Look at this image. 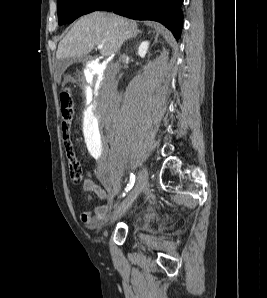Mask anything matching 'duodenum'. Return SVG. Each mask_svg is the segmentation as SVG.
<instances>
[{
	"mask_svg": "<svg viewBox=\"0 0 267 298\" xmlns=\"http://www.w3.org/2000/svg\"><path fill=\"white\" fill-rule=\"evenodd\" d=\"M91 86H92V87H98V86H99V83H98V82H92V83H91Z\"/></svg>",
	"mask_w": 267,
	"mask_h": 298,
	"instance_id": "1",
	"label": "duodenum"
}]
</instances>
